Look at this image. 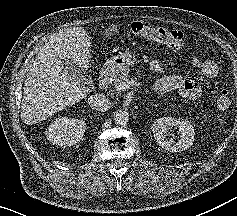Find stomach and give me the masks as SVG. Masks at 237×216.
Instances as JSON below:
<instances>
[{"label": "stomach", "mask_w": 237, "mask_h": 216, "mask_svg": "<svg viewBox=\"0 0 237 216\" xmlns=\"http://www.w3.org/2000/svg\"><path fill=\"white\" fill-rule=\"evenodd\" d=\"M134 65L133 56L130 52H121L117 56H113L106 62V66L111 71H125Z\"/></svg>", "instance_id": "0dacf381"}]
</instances>
